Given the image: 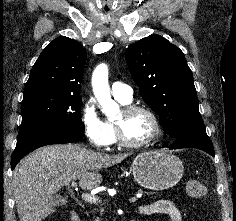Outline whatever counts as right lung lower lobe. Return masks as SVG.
I'll return each mask as SVG.
<instances>
[{"mask_svg":"<svg viewBox=\"0 0 236 221\" xmlns=\"http://www.w3.org/2000/svg\"><path fill=\"white\" fill-rule=\"evenodd\" d=\"M83 136V132L51 125H36L20 130L11 158V169L13 170L20 159L36 148L75 142Z\"/></svg>","mask_w":236,"mask_h":221,"instance_id":"obj_1","label":"right lung lower lobe"}]
</instances>
